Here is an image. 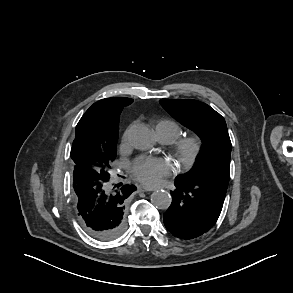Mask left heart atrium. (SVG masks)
Instances as JSON below:
<instances>
[{
    "mask_svg": "<svg viewBox=\"0 0 293 293\" xmlns=\"http://www.w3.org/2000/svg\"><path fill=\"white\" fill-rule=\"evenodd\" d=\"M132 175L140 182L153 185L171 172L170 163L161 158L140 157L130 165Z\"/></svg>",
    "mask_w": 293,
    "mask_h": 293,
    "instance_id": "obj_1",
    "label": "left heart atrium"
}]
</instances>
